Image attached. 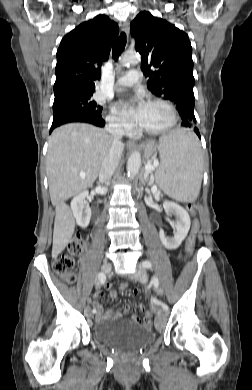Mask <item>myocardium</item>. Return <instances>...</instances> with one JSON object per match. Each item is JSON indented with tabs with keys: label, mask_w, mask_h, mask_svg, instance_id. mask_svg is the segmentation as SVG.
<instances>
[{
	"label": "myocardium",
	"mask_w": 252,
	"mask_h": 390,
	"mask_svg": "<svg viewBox=\"0 0 252 390\" xmlns=\"http://www.w3.org/2000/svg\"><path fill=\"white\" fill-rule=\"evenodd\" d=\"M153 103H161L169 109V111L171 113L170 123L166 127L161 128V129H157V130H147V129L142 128L140 125H138V127H137L138 131L144 135H150V136H158V135L166 134L177 125V122H178L177 109L172 102H170L169 100L163 99V98L156 97V98H151L147 101V104H153Z\"/></svg>",
	"instance_id": "myocardium-1"
}]
</instances>
